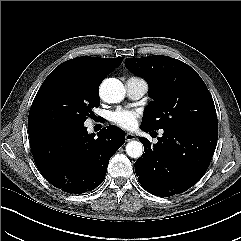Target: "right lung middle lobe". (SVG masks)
Segmentation results:
<instances>
[{"mask_svg":"<svg viewBox=\"0 0 241 241\" xmlns=\"http://www.w3.org/2000/svg\"><path fill=\"white\" fill-rule=\"evenodd\" d=\"M99 104L96 90L86 88L71 70L56 67L32 103L28 131L83 124Z\"/></svg>","mask_w":241,"mask_h":241,"instance_id":"obj_1","label":"right lung middle lobe"}]
</instances>
